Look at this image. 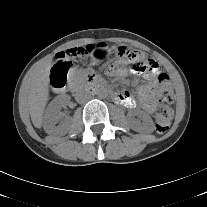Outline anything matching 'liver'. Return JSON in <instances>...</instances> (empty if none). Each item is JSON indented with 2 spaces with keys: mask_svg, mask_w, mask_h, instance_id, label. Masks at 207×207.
Here are the masks:
<instances>
[{
  "mask_svg": "<svg viewBox=\"0 0 207 207\" xmlns=\"http://www.w3.org/2000/svg\"><path fill=\"white\" fill-rule=\"evenodd\" d=\"M52 67V59H48L32 69L25 77L21 97L26 102L33 125L41 128L43 114L49 100V75Z\"/></svg>",
  "mask_w": 207,
  "mask_h": 207,
  "instance_id": "1",
  "label": "liver"
}]
</instances>
